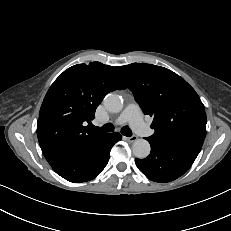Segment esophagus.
<instances>
[{"label":"esophagus","mask_w":231,"mask_h":231,"mask_svg":"<svg viewBox=\"0 0 231 231\" xmlns=\"http://www.w3.org/2000/svg\"><path fill=\"white\" fill-rule=\"evenodd\" d=\"M137 136L136 135H133V136H130V137H126L125 139L130 142V143H133L137 140Z\"/></svg>","instance_id":"1"}]
</instances>
